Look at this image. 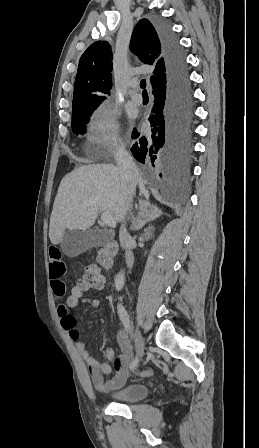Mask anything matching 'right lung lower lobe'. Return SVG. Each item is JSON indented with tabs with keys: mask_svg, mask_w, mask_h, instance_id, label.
I'll use <instances>...</instances> for the list:
<instances>
[{
	"mask_svg": "<svg viewBox=\"0 0 259 448\" xmlns=\"http://www.w3.org/2000/svg\"><path fill=\"white\" fill-rule=\"evenodd\" d=\"M166 64V84L152 91L154 105L148 118L151 135L136 139L131 148L134 158L143 164L161 167L163 177L180 183L190 175L192 150L193 96L188 64L178 39L169 24L155 22ZM155 163V164H154Z\"/></svg>",
	"mask_w": 259,
	"mask_h": 448,
	"instance_id": "right-lung-lower-lobe-1",
	"label": "right lung lower lobe"
}]
</instances>
